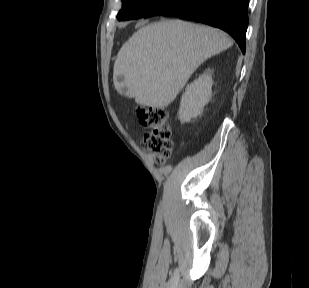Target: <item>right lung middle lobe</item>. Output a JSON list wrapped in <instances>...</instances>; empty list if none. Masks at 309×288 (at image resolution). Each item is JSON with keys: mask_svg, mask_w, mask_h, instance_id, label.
I'll use <instances>...</instances> for the list:
<instances>
[{"mask_svg": "<svg viewBox=\"0 0 309 288\" xmlns=\"http://www.w3.org/2000/svg\"><path fill=\"white\" fill-rule=\"evenodd\" d=\"M165 0H122L123 8L118 13L117 19L131 20L144 17L149 11Z\"/></svg>", "mask_w": 309, "mask_h": 288, "instance_id": "1", "label": "right lung middle lobe"}]
</instances>
